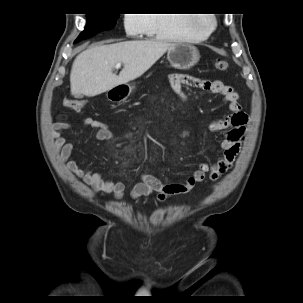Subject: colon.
Wrapping results in <instances>:
<instances>
[{
	"instance_id": "5ec220e1",
	"label": "colon",
	"mask_w": 303,
	"mask_h": 303,
	"mask_svg": "<svg viewBox=\"0 0 303 303\" xmlns=\"http://www.w3.org/2000/svg\"><path fill=\"white\" fill-rule=\"evenodd\" d=\"M215 67L219 71H226L228 69V62L223 59H217L215 61ZM67 105L75 110H81L83 108V103L81 101H69Z\"/></svg>"
}]
</instances>
